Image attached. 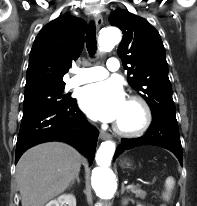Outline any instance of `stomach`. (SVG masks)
Segmentation results:
<instances>
[{"label":"stomach","mask_w":197,"mask_h":206,"mask_svg":"<svg viewBox=\"0 0 197 206\" xmlns=\"http://www.w3.org/2000/svg\"><path fill=\"white\" fill-rule=\"evenodd\" d=\"M122 165H126L127 167H129L131 164L129 162H127L126 160H124Z\"/></svg>","instance_id":"1"}]
</instances>
